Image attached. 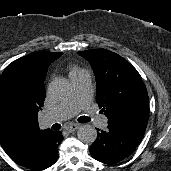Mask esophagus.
Masks as SVG:
<instances>
[{
  "instance_id": "1",
  "label": "esophagus",
  "mask_w": 171,
  "mask_h": 171,
  "mask_svg": "<svg viewBox=\"0 0 171 171\" xmlns=\"http://www.w3.org/2000/svg\"><path fill=\"white\" fill-rule=\"evenodd\" d=\"M79 127H80L79 124H70V125L66 126L65 129H66L68 132H73V131L77 130Z\"/></svg>"
}]
</instances>
